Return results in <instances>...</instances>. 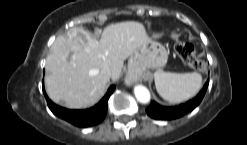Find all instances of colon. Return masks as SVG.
Wrapping results in <instances>:
<instances>
[{"instance_id":"5ec220e1","label":"colon","mask_w":247,"mask_h":145,"mask_svg":"<svg viewBox=\"0 0 247 145\" xmlns=\"http://www.w3.org/2000/svg\"><path fill=\"white\" fill-rule=\"evenodd\" d=\"M174 48L183 62L188 66L200 71L206 69L205 62L197 58L192 44L185 42H176Z\"/></svg>"}]
</instances>
